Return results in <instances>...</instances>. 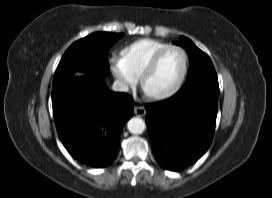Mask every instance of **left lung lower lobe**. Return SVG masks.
I'll list each match as a JSON object with an SVG mask.
<instances>
[{"instance_id": "1", "label": "left lung lower lobe", "mask_w": 272, "mask_h": 198, "mask_svg": "<svg viewBox=\"0 0 272 198\" xmlns=\"http://www.w3.org/2000/svg\"><path fill=\"white\" fill-rule=\"evenodd\" d=\"M217 75L189 80L174 96L146 105V124L159 165L171 171L195 163L209 148L216 123Z\"/></svg>"}]
</instances>
